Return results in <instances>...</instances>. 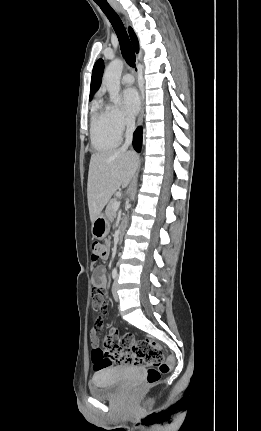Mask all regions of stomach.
<instances>
[{
    "label": "stomach",
    "instance_id": "obj_1",
    "mask_svg": "<svg viewBox=\"0 0 261 431\" xmlns=\"http://www.w3.org/2000/svg\"><path fill=\"white\" fill-rule=\"evenodd\" d=\"M110 230V222L107 216L103 213L99 214L93 221L91 232L94 238L104 239Z\"/></svg>",
    "mask_w": 261,
    "mask_h": 431
}]
</instances>
